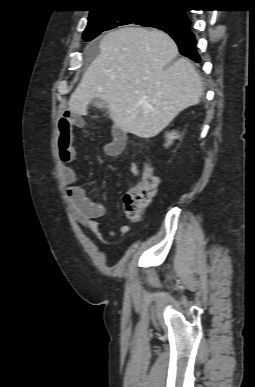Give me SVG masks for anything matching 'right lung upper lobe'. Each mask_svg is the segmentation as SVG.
Here are the masks:
<instances>
[{
    "instance_id": "cb5924a9",
    "label": "right lung upper lobe",
    "mask_w": 255,
    "mask_h": 387,
    "mask_svg": "<svg viewBox=\"0 0 255 387\" xmlns=\"http://www.w3.org/2000/svg\"><path fill=\"white\" fill-rule=\"evenodd\" d=\"M96 4L94 8L90 10V15L103 12L110 11L119 8H131V7H162V8H171L180 7L185 0H95ZM181 12L182 16L187 18L185 11L178 9ZM188 19V18H187ZM191 23L188 19V26ZM169 29V28H164Z\"/></svg>"
}]
</instances>
